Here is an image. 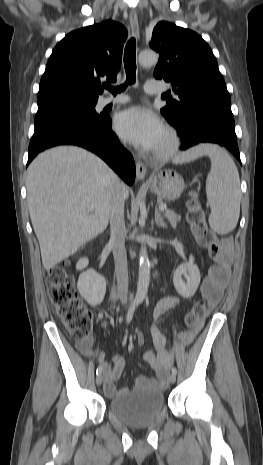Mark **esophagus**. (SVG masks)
Returning a JSON list of instances; mask_svg holds the SVG:
<instances>
[{
    "label": "esophagus",
    "instance_id": "obj_1",
    "mask_svg": "<svg viewBox=\"0 0 263 465\" xmlns=\"http://www.w3.org/2000/svg\"><path fill=\"white\" fill-rule=\"evenodd\" d=\"M129 21H130V27H131L132 34L136 38H138L139 37V23H138L137 15L131 14L129 16ZM145 175H146V167L141 161L137 160L136 161V178L138 180H144Z\"/></svg>",
    "mask_w": 263,
    "mask_h": 465
}]
</instances>
